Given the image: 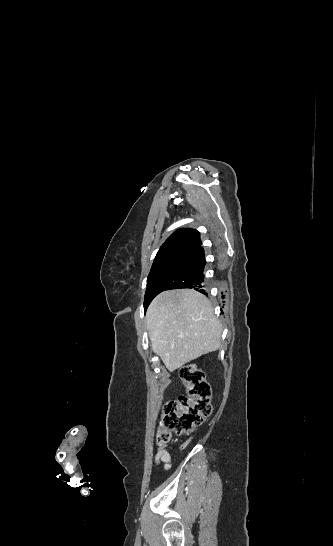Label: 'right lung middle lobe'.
Wrapping results in <instances>:
<instances>
[{
	"label": "right lung middle lobe",
	"instance_id": "obj_1",
	"mask_svg": "<svg viewBox=\"0 0 333 546\" xmlns=\"http://www.w3.org/2000/svg\"><path fill=\"white\" fill-rule=\"evenodd\" d=\"M187 251L168 250L156 255L151 271L147 279V290L144 304L151 302L157 290V283L160 277L176 263Z\"/></svg>",
	"mask_w": 333,
	"mask_h": 546
}]
</instances>
